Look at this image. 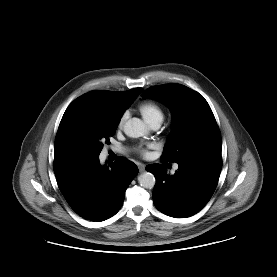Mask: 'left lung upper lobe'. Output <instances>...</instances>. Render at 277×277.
Returning <instances> with one entry per match:
<instances>
[{
	"instance_id": "1",
	"label": "left lung upper lobe",
	"mask_w": 277,
	"mask_h": 277,
	"mask_svg": "<svg viewBox=\"0 0 277 277\" xmlns=\"http://www.w3.org/2000/svg\"><path fill=\"white\" fill-rule=\"evenodd\" d=\"M142 98H153L172 110L173 129L164 147L163 160L179 162L202 152H221V134L207 101L198 92L180 85L150 87Z\"/></svg>"
}]
</instances>
